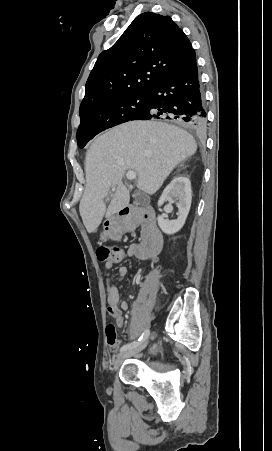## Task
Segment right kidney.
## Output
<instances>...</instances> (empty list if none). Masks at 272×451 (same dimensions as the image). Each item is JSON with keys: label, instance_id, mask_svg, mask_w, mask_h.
Segmentation results:
<instances>
[{"label": "right kidney", "instance_id": "ca27d5eb", "mask_svg": "<svg viewBox=\"0 0 272 451\" xmlns=\"http://www.w3.org/2000/svg\"><path fill=\"white\" fill-rule=\"evenodd\" d=\"M164 202L176 204L179 216L177 220H164L163 216H158V226L161 227L164 233H176L184 226L191 208L192 192L189 178H184V176L174 178L169 186H166L162 196H160L158 206H163Z\"/></svg>", "mask_w": 272, "mask_h": 451}]
</instances>
